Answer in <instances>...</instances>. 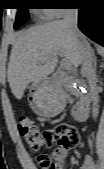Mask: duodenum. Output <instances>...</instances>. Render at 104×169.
I'll list each match as a JSON object with an SVG mask.
<instances>
[{"mask_svg":"<svg viewBox=\"0 0 104 169\" xmlns=\"http://www.w3.org/2000/svg\"><path fill=\"white\" fill-rule=\"evenodd\" d=\"M73 117L77 122H85L87 120L88 102L85 99H82L73 107Z\"/></svg>","mask_w":104,"mask_h":169,"instance_id":"410a0bca","label":"duodenum"}]
</instances>
